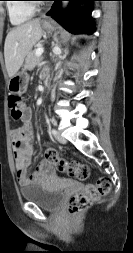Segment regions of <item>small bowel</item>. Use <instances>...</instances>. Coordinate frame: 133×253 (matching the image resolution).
<instances>
[{
  "label": "small bowel",
  "instance_id": "small-bowel-1",
  "mask_svg": "<svg viewBox=\"0 0 133 253\" xmlns=\"http://www.w3.org/2000/svg\"><path fill=\"white\" fill-rule=\"evenodd\" d=\"M32 113L26 108L23 125L12 130V147L14 163L18 182L22 186L43 182L55 174V170L48 162L42 161L35 172L28 174L33 154V128L31 124Z\"/></svg>",
  "mask_w": 133,
  "mask_h": 253
}]
</instances>
